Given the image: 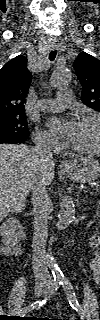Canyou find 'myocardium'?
Masks as SVG:
<instances>
[{
    "instance_id": "f54148a6",
    "label": "myocardium",
    "mask_w": 100,
    "mask_h": 320,
    "mask_svg": "<svg viewBox=\"0 0 100 320\" xmlns=\"http://www.w3.org/2000/svg\"><path fill=\"white\" fill-rule=\"evenodd\" d=\"M84 121H94L98 126V137H97V143H96L95 147L89 148V149L78 148L73 145H68V147L72 151L79 153V154L93 155V154H96L100 151V118H99V116H97L95 114H86V115H83L79 119V122H84Z\"/></svg>"
}]
</instances>
